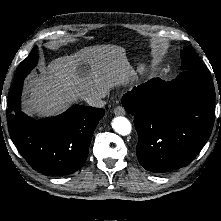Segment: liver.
<instances>
[{
    "mask_svg": "<svg viewBox=\"0 0 221 221\" xmlns=\"http://www.w3.org/2000/svg\"><path fill=\"white\" fill-rule=\"evenodd\" d=\"M136 80L123 47L95 45L52 60L41 74L30 76L24 87L23 111L38 117L64 111L78 98H104L117 86Z\"/></svg>",
    "mask_w": 221,
    "mask_h": 221,
    "instance_id": "1",
    "label": "liver"
}]
</instances>
